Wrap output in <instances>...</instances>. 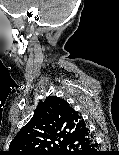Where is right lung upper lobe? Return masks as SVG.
Returning <instances> with one entry per match:
<instances>
[{
  "instance_id": "right-lung-upper-lobe-1",
  "label": "right lung upper lobe",
  "mask_w": 119,
  "mask_h": 155,
  "mask_svg": "<svg viewBox=\"0 0 119 155\" xmlns=\"http://www.w3.org/2000/svg\"><path fill=\"white\" fill-rule=\"evenodd\" d=\"M85 127L84 120L65 100L47 97L11 141L6 155H57Z\"/></svg>"
}]
</instances>
